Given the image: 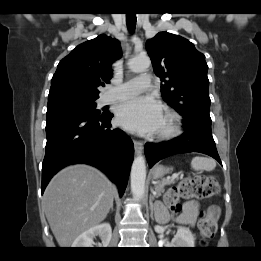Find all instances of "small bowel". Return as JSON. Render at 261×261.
I'll return each instance as SVG.
<instances>
[{"mask_svg":"<svg viewBox=\"0 0 261 261\" xmlns=\"http://www.w3.org/2000/svg\"><path fill=\"white\" fill-rule=\"evenodd\" d=\"M216 215L219 213L217 207H214ZM198 215V204L193 201H188L184 204L182 213L176 218L179 223L195 225Z\"/></svg>","mask_w":261,"mask_h":261,"instance_id":"small-bowel-1","label":"small bowel"}]
</instances>
